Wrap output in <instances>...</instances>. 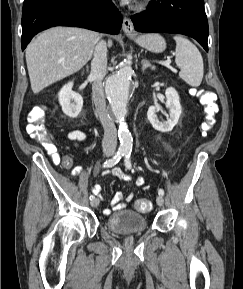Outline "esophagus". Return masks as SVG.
Segmentation results:
<instances>
[{
  "instance_id": "1",
  "label": "esophagus",
  "mask_w": 243,
  "mask_h": 289,
  "mask_svg": "<svg viewBox=\"0 0 243 289\" xmlns=\"http://www.w3.org/2000/svg\"><path fill=\"white\" fill-rule=\"evenodd\" d=\"M122 29H123L124 33H126V34H132L135 32L133 23H132L130 18L124 16Z\"/></svg>"
}]
</instances>
